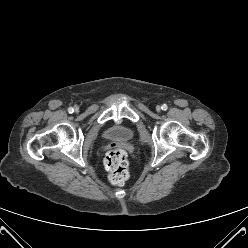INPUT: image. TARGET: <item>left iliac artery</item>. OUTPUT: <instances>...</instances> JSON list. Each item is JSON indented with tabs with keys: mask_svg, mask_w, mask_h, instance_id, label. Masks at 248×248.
I'll use <instances>...</instances> for the list:
<instances>
[{
	"mask_svg": "<svg viewBox=\"0 0 248 248\" xmlns=\"http://www.w3.org/2000/svg\"><path fill=\"white\" fill-rule=\"evenodd\" d=\"M161 109L164 110V111H166V110L168 109V106H167L166 104H163V105L161 106Z\"/></svg>",
	"mask_w": 248,
	"mask_h": 248,
	"instance_id": "1",
	"label": "left iliac artery"
}]
</instances>
